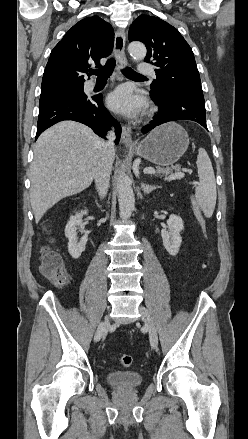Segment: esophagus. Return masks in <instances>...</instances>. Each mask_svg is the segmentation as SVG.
Wrapping results in <instances>:
<instances>
[{"label":"esophagus","instance_id":"1","mask_svg":"<svg viewBox=\"0 0 248 439\" xmlns=\"http://www.w3.org/2000/svg\"><path fill=\"white\" fill-rule=\"evenodd\" d=\"M125 42L126 34L122 29H118L115 33L114 52L117 58V71L120 74V70L127 65V59L125 56ZM121 141L127 147H134V143L131 139V128L128 125L122 126Z\"/></svg>","mask_w":248,"mask_h":439}]
</instances>
